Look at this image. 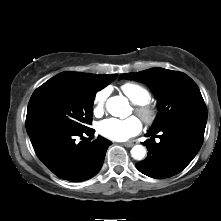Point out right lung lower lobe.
<instances>
[{
    "mask_svg": "<svg viewBox=\"0 0 221 221\" xmlns=\"http://www.w3.org/2000/svg\"><path fill=\"white\" fill-rule=\"evenodd\" d=\"M27 133L44 165L59 178L71 182L93 177L102 167L112 144L101 136L93 141L84 138L85 134H94L91 128L79 132L55 125H38L27 129ZM77 137L82 141H76Z\"/></svg>",
    "mask_w": 221,
    "mask_h": 221,
    "instance_id": "98d812e1",
    "label": "right lung lower lobe"
}]
</instances>
